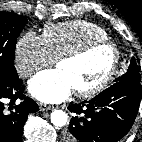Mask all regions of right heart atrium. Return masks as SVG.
Here are the masks:
<instances>
[{
    "label": "right heart atrium",
    "instance_id": "1",
    "mask_svg": "<svg viewBox=\"0 0 142 142\" xmlns=\"http://www.w3.org/2000/svg\"><path fill=\"white\" fill-rule=\"evenodd\" d=\"M14 62L18 74L30 77L42 67L50 66L54 59L48 51L42 36L29 31L16 42Z\"/></svg>",
    "mask_w": 142,
    "mask_h": 142
}]
</instances>
